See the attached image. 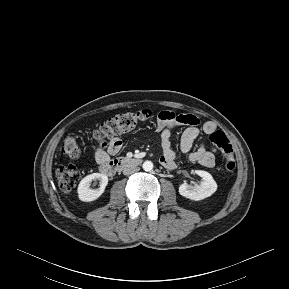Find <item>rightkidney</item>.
Masks as SVG:
<instances>
[{"label":"right kidney","instance_id":"ca27d5eb","mask_svg":"<svg viewBox=\"0 0 289 289\" xmlns=\"http://www.w3.org/2000/svg\"><path fill=\"white\" fill-rule=\"evenodd\" d=\"M99 181L100 187L93 189L90 187L92 181ZM108 184V177L105 174L93 173L84 177L77 188L78 197L81 201L91 202L98 199L105 191Z\"/></svg>","mask_w":289,"mask_h":289}]
</instances>
